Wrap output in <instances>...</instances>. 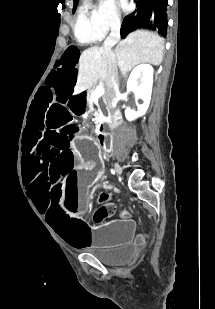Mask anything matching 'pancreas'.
<instances>
[{
	"label": "pancreas",
	"mask_w": 215,
	"mask_h": 309,
	"mask_svg": "<svg viewBox=\"0 0 215 309\" xmlns=\"http://www.w3.org/2000/svg\"><path fill=\"white\" fill-rule=\"evenodd\" d=\"M94 92V88H90V90H87V98H88V104H89V110L90 112H93L96 120H95V124L97 126V124H100L101 120H103V118H105L99 104H96L95 100H93L95 94H93ZM95 106H97V108H95Z\"/></svg>",
	"instance_id": "1"
}]
</instances>
